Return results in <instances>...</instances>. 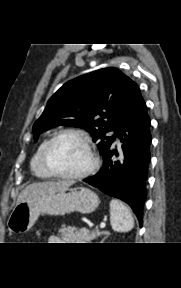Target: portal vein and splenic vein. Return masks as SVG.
<instances>
[{"label": "portal vein and splenic vein", "mask_w": 181, "mask_h": 288, "mask_svg": "<svg viewBox=\"0 0 181 288\" xmlns=\"http://www.w3.org/2000/svg\"><path fill=\"white\" fill-rule=\"evenodd\" d=\"M105 227V223L100 224V228L103 229Z\"/></svg>", "instance_id": "18ae733b"}]
</instances>
